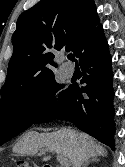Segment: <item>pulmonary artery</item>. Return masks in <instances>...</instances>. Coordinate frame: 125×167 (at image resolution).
Wrapping results in <instances>:
<instances>
[{
    "mask_svg": "<svg viewBox=\"0 0 125 167\" xmlns=\"http://www.w3.org/2000/svg\"><path fill=\"white\" fill-rule=\"evenodd\" d=\"M61 71L65 78H71L74 73V69L66 68L65 65L61 66Z\"/></svg>",
    "mask_w": 125,
    "mask_h": 167,
    "instance_id": "1",
    "label": "pulmonary artery"
}]
</instances>
